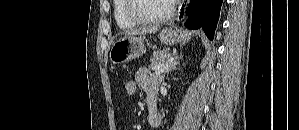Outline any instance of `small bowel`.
I'll list each match as a JSON object with an SVG mask.
<instances>
[{
  "instance_id": "1",
  "label": "small bowel",
  "mask_w": 299,
  "mask_h": 130,
  "mask_svg": "<svg viewBox=\"0 0 299 130\" xmlns=\"http://www.w3.org/2000/svg\"><path fill=\"white\" fill-rule=\"evenodd\" d=\"M136 81L138 83V87L146 92V95L155 93L156 94V84H157V77L153 75L149 69L147 68H140L135 74ZM148 123L153 128L159 127L161 123V117L159 114L151 115L149 113L147 117Z\"/></svg>"
}]
</instances>
